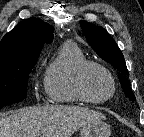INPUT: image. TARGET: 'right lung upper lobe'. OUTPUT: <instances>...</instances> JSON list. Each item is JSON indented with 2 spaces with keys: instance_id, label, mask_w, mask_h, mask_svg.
Segmentation results:
<instances>
[{
  "instance_id": "cb5924a9",
  "label": "right lung upper lobe",
  "mask_w": 144,
  "mask_h": 137,
  "mask_svg": "<svg viewBox=\"0 0 144 137\" xmlns=\"http://www.w3.org/2000/svg\"><path fill=\"white\" fill-rule=\"evenodd\" d=\"M53 41V27L35 17L23 20L0 42V65L38 59L45 43Z\"/></svg>"
}]
</instances>
